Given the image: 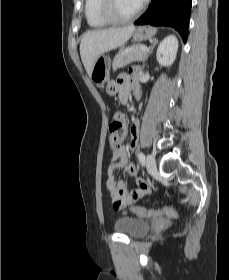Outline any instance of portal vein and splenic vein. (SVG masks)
Listing matches in <instances>:
<instances>
[{
    "instance_id": "portal-vein-and-splenic-vein-1",
    "label": "portal vein and splenic vein",
    "mask_w": 229,
    "mask_h": 280,
    "mask_svg": "<svg viewBox=\"0 0 229 280\" xmlns=\"http://www.w3.org/2000/svg\"><path fill=\"white\" fill-rule=\"evenodd\" d=\"M140 51H141V52H147V51H148V48H147V47H141V48H140Z\"/></svg>"
}]
</instances>
